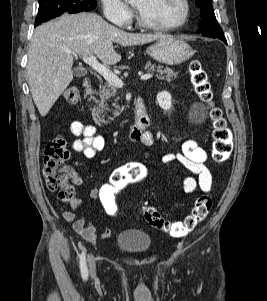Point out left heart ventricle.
Segmentation results:
<instances>
[{
	"label": "left heart ventricle",
	"instance_id": "left-heart-ventricle-1",
	"mask_svg": "<svg viewBox=\"0 0 267 301\" xmlns=\"http://www.w3.org/2000/svg\"><path fill=\"white\" fill-rule=\"evenodd\" d=\"M134 5L144 19L158 25L175 23L183 14L181 0H134Z\"/></svg>",
	"mask_w": 267,
	"mask_h": 301
}]
</instances>
